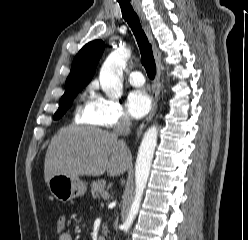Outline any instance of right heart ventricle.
Wrapping results in <instances>:
<instances>
[{
    "instance_id": "e07e8e85",
    "label": "right heart ventricle",
    "mask_w": 248,
    "mask_h": 240,
    "mask_svg": "<svg viewBox=\"0 0 248 240\" xmlns=\"http://www.w3.org/2000/svg\"><path fill=\"white\" fill-rule=\"evenodd\" d=\"M81 120H82V121H85V120L83 119V117H82V116H81ZM85 122H86V121H85Z\"/></svg>"
}]
</instances>
